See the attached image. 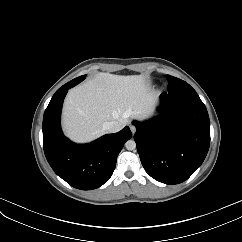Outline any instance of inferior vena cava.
I'll list each match as a JSON object with an SVG mask.
<instances>
[{
	"label": "inferior vena cava",
	"instance_id": "obj_1",
	"mask_svg": "<svg viewBox=\"0 0 242 242\" xmlns=\"http://www.w3.org/2000/svg\"><path fill=\"white\" fill-rule=\"evenodd\" d=\"M124 125L121 122L118 121H110L105 123L104 129L109 133H115L120 131Z\"/></svg>",
	"mask_w": 242,
	"mask_h": 242
}]
</instances>
